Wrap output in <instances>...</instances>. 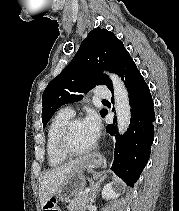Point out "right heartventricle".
Returning <instances> with one entry per match:
<instances>
[{
    "mask_svg": "<svg viewBox=\"0 0 179 211\" xmlns=\"http://www.w3.org/2000/svg\"><path fill=\"white\" fill-rule=\"evenodd\" d=\"M73 116V114L63 110L57 112L51 119L46 133V159L50 167H59L65 163L67 157L61 154L58 149V138L64 124Z\"/></svg>",
    "mask_w": 179,
    "mask_h": 211,
    "instance_id": "1",
    "label": "right heart ventricle"
}]
</instances>
